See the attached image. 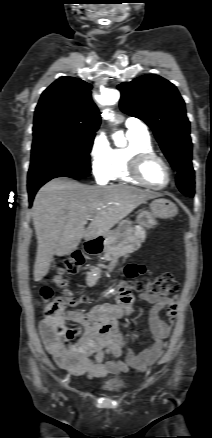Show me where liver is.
Masks as SVG:
<instances>
[{"label": "liver", "mask_w": 212, "mask_h": 438, "mask_svg": "<svg viewBox=\"0 0 212 438\" xmlns=\"http://www.w3.org/2000/svg\"><path fill=\"white\" fill-rule=\"evenodd\" d=\"M159 194L125 185H83L56 178L36 194L32 217L37 237L34 281L49 271L53 255L64 256L86 241L105 237L134 209ZM93 220L86 228L87 217Z\"/></svg>", "instance_id": "obj_1"}]
</instances>
